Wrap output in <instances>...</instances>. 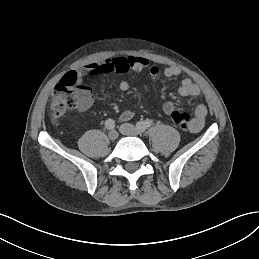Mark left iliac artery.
Listing matches in <instances>:
<instances>
[{
  "mask_svg": "<svg viewBox=\"0 0 259 259\" xmlns=\"http://www.w3.org/2000/svg\"><path fill=\"white\" fill-rule=\"evenodd\" d=\"M152 125L151 120H145V121H140L136 124L137 129L140 132H145L146 129H148Z\"/></svg>",
  "mask_w": 259,
  "mask_h": 259,
  "instance_id": "obj_1",
  "label": "left iliac artery"
}]
</instances>
